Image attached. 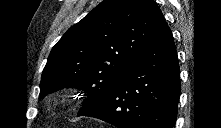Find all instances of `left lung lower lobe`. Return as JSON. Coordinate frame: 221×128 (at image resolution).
Here are the masks:
<instances>
[{
  "instance_id": "obj_1",
  "label": "left lung lower lobe",
  "mask_w": 221,
  "mask_h": 128,
  "mask_svg": "<svg viewBox=\"0 0 221 128\" xmlns=\"http://www.w3.org/2000/svg\"><path fill=\"white\" fill-rule=\"evenodd\" d=\"M179 97V64L167 25L109 96L78 116L98 118L118 128H173Z\"/></svg>"
}]
</instances>
